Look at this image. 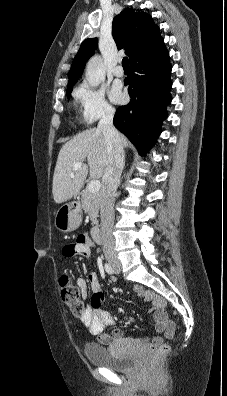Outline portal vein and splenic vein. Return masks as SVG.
I'll list each match as a JSON object with an SVG mask.
<instances>
[{
  "instance_id": "portal-vein-and-splenic-vein-1",
  "label": "portal vein and splenic vein",
  "mask_w": 227,
  "mask_h": 396,
  "mask_svg": "<svg viewBox=\"0 0 227 396\" xmlns=\"http://www.w3.org/2000/svg\"><path fill=\"white\" fill-rule=\"evenodd\" d=\"M82 166L81 162L75 163L74 164V170L79 169ZM73 177V175H71ZM101 188V183L99 180H92L89 184H88V190L92 193L98 192Z\"/></svg>"
}]
</instances>
